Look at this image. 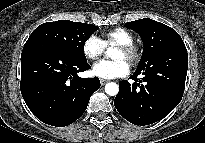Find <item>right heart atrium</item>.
<instances>
[{
  "label": "right heart atrium",
  "mask_w": 205,
  "mask_h": 143,
  "mask_svg": "<svg viewBox=\"0 0 205 143\" xmlns=\"http://www.w3.org/2000/svg\"><path fill=\"white\" fill-rule=\"evenodd\" d=\"M105 51L100 38L95 35L88 36L82 45V52L84 56L89 60H97L100 58Z\"/></svg>",
  "instance_id": "right-heart-atrium-1"
}]
</instances>
